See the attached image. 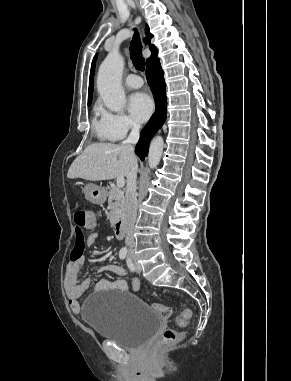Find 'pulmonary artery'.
<instances>
[{"label":"pulmonary artery","mask_w":291,"mask_h":381,"mask_svg":"<svg viewBox=\"0 0 291 381\" xmlns=\"http://www.w3.org/2000/svg\"><path fill=\"white\" fill-rule=\"evenodd\" d=\"M125 84L130 89H138L143 85V80L137 74H130L126 77Z\"/></svg>","instance_id":"pulmonary-artery-1"}]
</instances>
